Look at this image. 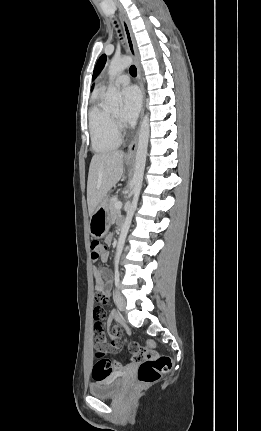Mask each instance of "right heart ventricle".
<instances>
[{"label": "right heart ventricle", "instance_id": "e07e8e85", "mask_svg": "<svg viewBox=\"0 0 261 431\" xmlns=\"http://www.w3.org/2000/svg\"><path fill=\"white\" fill-rule=\"evenodd\" d=\"M102 95L103 89H100L93 99L89 111V131L93 150L105 154L120 146L121 137L111 114L101 104Z\"/></svg>", "mask_w": 261, "mask_h": 431}]
</instances>
